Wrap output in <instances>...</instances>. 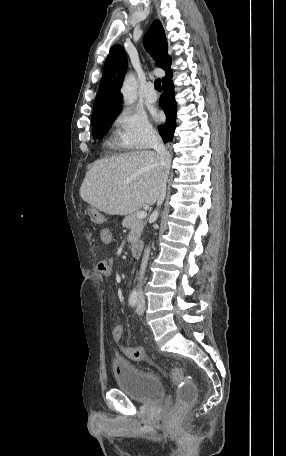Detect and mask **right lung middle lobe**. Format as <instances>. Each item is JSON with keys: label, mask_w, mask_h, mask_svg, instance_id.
I'll use <instances>...</instances> for the list:
<instances>
[{"label": "right lung middle lobe", "mask_w": 286, "mask_h": 456, "mask_svg": "<svg viewBox=\"0 0 286 456\" xmlns=\"http://www.w3.org/2000/svg\"><path fill=\"white\" fill-rule=\"evenodd\" d=\"M121 111V108H117L114 110H111L104 115L98 117L94 121H92V124H94L93 127V139L94 140H101L103 136L108 132L110 129L113 121L115 118L119 115Z\"/></svg>", "instance_id": "1"}]
</instances>
